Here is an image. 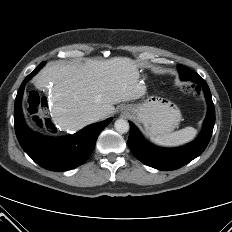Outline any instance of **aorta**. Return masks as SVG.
<instances>
[{
    "instance_id": "obj_1",
    "label": "aorta",
    "mask_w": 232,
    "mask_h": 232,
    "mask_svg": "<svg viewBox=\"0 0 232 232\" xmlns=\"http://www.w3.org/2000/svg\"><path fill=\"white\" fill-rule=\"evenodd\" d=\"M114 128L118 133L124 134L129 130V123L125 119H118L115 121Z\"/></svg>"
}]
</instances>
